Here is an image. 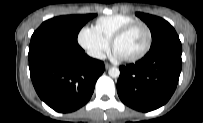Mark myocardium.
<instances>
[{
  "mask_svg": "<svg viewBox=\"0 0 203 123\" xmlns=\"http://www.w3.org/2000/svg\"><path fill=\"white\" fill-rule=\"evenodd\" d=\"M137 26H142L145 29V31L147 33V43H146V46L144 47V49L141 52H139L138 54H136L134 56H130V57H121L123 60L128 61V62L137 61V60L143 58L150 51L151 46H152V41H153L152 32H151L150 27L145 22L136 21V22L130 23V24L124 26L123 28H121L118 32L115 33V35L113 36V38L111 40V46H112L113 50L115 51L116 43Z\"/></svg>",
  "mask_w": 203,
  "mask_h": 123,
  "instance_id": "f54148a6",
  "label": "myocardium"
}]
</instances>
